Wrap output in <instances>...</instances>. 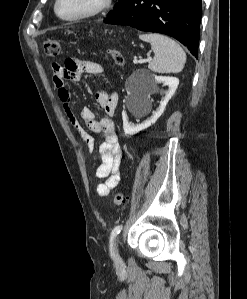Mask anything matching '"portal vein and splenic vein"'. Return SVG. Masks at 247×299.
I'll list each match as a JSON object with an SVG mask.
<instances>
[{"mask_svg":"<svg viewBox=\"0 0 247 299\" xmlns=\"http://www.w3.org/2000/svg\"><path fill=\"white\" fill-rule=\"evenodd\" d=\"M151 60H152L151 57H148L147 59H140V60H138L137 58H134L133 63H134V64H138V63L149 62V61H151Z\"/></svg>","mask_w":247,"mask_h":299,"instance_id":"portal-vein-and-splenic-vein-1","label":"portal vein and splenic vein"}]
</instances>
